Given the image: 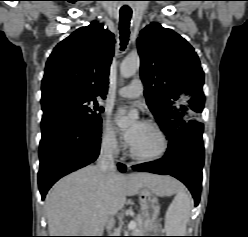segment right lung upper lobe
<instances>
[{
    "label": "right lung upper lobe",
    "mask_w": 248,
    "mask_h": 237,
    "mask_svg": "<svg viewBox=\"0 0 248 237\" xmlns=\"http://www.w3.org/2000/svg\"><path fill=\"white\" fill-rule=\"evenodd\" d=\"M114 43V35L96 21L61 41L46 63L41 103L61 96L105 98Z\"/></svg>",
    "instance_id": "cb5924a9"
}]
</instances>
